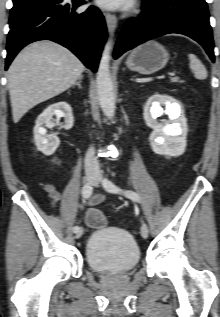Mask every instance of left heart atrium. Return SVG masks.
<instances>
[{"mask_svg":"<svg viewBox=\"0 0 220 317\" xmlns=\"http://www.w3.org/2000/svg\"><path fill=\"white\" fill-rule=\"evenodd\" d=\"M97 3L105 8H117L123 3V0H97Z\"/></svg>","mask_w":220,"mask_h":317,"instance_id":"left-heart-atrium-1","label":"left heart atrium"}]
</instances>
